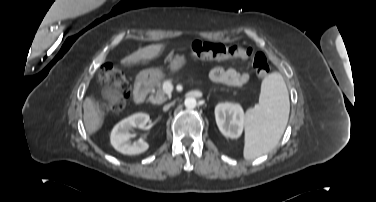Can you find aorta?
Returning <instances> with one entry per match:
<instances>
[{"instance_id": "obj_1", "label": "aorta", "mask_w": 376, "mask_h": 202, "mask_svg": "<svg viewBox=\"0 0 376 202\" xmlns=\"http://www.w3.org/2000/svg\"><path fill=\"white\" fill-rule=\"evenodd\" d=\"M184 105L186 108L192 109L197 106V101L194 97H187L184 101Z\"/></svg>"}]
</instances>
